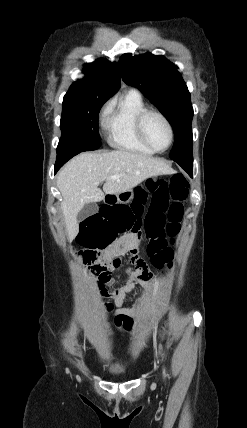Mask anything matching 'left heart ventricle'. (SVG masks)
I'll return each mask as SVG.
<instances>
[{
	"label": "left heart ventricle",
	"mask_w": 247,
	"mask_h": 428,
	"mask_svg": "<svg viewBox=\"0 0 247 428\" xmlns=\"http://www.w3.org/2000/svg\"><path fill=\"white\" fill-rule=\"evenodd\" d=\"M145 132L151 144L158 148L164 149L169 143V131L163 120L156 116L150 115L145 121Z\"/></svg>",
	"instance_id": "b2bd125f"
}]
</instances>
